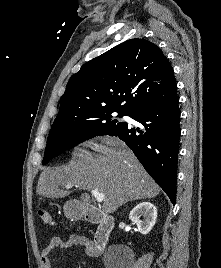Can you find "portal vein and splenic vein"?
Masks as SVG:
<instances>
[{
  "label": "portal vein and splenic vein",
  "mask_w": 221,
  "mask_h": 268,
  "mask_svg": "<svg viewBox=\"0 0 221 268\" xmlns=\"http://www.w3.org/2000/svg\"><path fill=\"white\" fill-rule=\"evenodd\" d=\"M73 186H74L73 184H67V185H65V188L70 189ZM91 193L95 197L97 202H102L104 200V198H105L104 193L99 192L97 189L91 190Z\"/></svg>",
  "instance_id": "18ae733b"
}]
</instances>
